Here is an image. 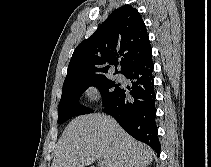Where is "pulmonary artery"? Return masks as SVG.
Listing matches in <instances>:
<instances>
[{
	"instance_id": "pulmonary-artery-1",
	"label": "pulmonary artery",
	"mask_w": 211,
	"mask_h": 167,
	"mask_svg": "<svg viewBox=\"0 0 211 167\" xmlns=\"http://www.w3.org/2000/svg\"><path fill=\"white\" fill-rule=\"evenodd\" d=\"M116 76H117V78H118L119 80H122V79H123V75H121V74H117Z\"/></svg>"
}]
</instances>
